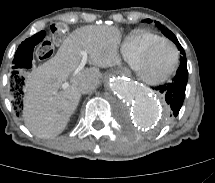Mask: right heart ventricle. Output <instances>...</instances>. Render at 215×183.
I'll list each match as a JSON object with an SVG mask.
<instances>
[{
	"instance_id": "e07e8e85",
	"label": "right heart ventricle",
	"mask_w": 215,
	"mask_h": 183,
	"mask_svg": "<svg viewBox=\"0 0 215 183\" xmlns=\"http://www.w3.org/2000/svg\"><path fill=\"white\" fill-rule=\"evenodd\" d=\"M161 39L156 33L144 30H134L123 40L121 53L127 63L132 66L142 51L154 41Z\"/></svg>"
}]
</instances>
